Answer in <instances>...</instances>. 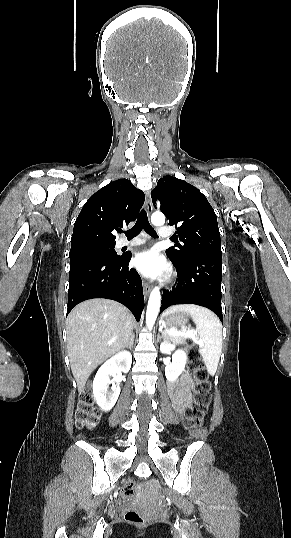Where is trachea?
<instances>
[{"label":"trachea","instance_id":"1","mask_svg":"<svg viewBox=\"0 0 291 538\" xmlns=\"http://www.w3.org/2000/svg\"><path fill=\"white\" fill-rule=\"evenodd\" d=\"M144 229L150 236L157 238L156 231L152 228L148 221L147 212L143 209L135 223V225L128 231L125 232V235L128 239H132L137 236L141 230Z\"/></svg>","mask_w":291,"mask_h":538}]
</instances>
